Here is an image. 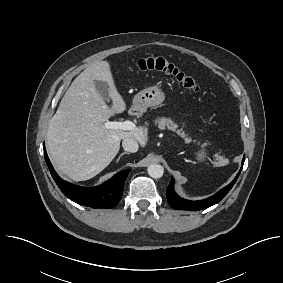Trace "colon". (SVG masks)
<instances>
[{"label":"colon","mask_w":283,"mask_h":283,"mask_svg":"<svg viewBox=\"0 0 283 283\" xmlns=\"http://www.w3.org/2000/svg\"><path fill=\"white\" fill-rule=\"evenodd\" d=\"M135 68L138 71L148 72H160L169 76H172L176 81L185 89L200 93L201 88L194 78L186 74L180 68L172 64L161 57H146L137 61Z\"/></svg>","instance_id":"colon-1"}]
</instances>
